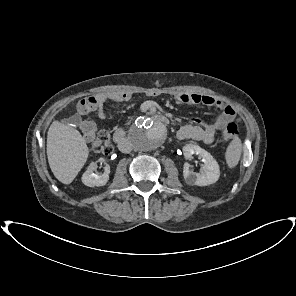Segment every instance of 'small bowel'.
<instances>
[{
    "instance_id": "1",
    "label": "small bowel",
    "mask_w": 296,
    "mask_h": 296,
    "mask_svg": "<svg viewBox=\"0 0 296 296\" xmlns=\"http://www.w3.org/2000/svg\"><path fill=\"white\" fill-rule=\"evenodd\" d=\"M173 100L180 105H197L215 107L220 110V115L211 122H205L200 119H193L192 123L182 126L177 132L179 140H195L205 144L212 143L217 131L222 130L226 125L238 118L236 111L228 103L218 100L208 95L197 93H173ZM131 95L127 92L113 91L100 93L92 97L83 99L77 107L80 115L90 112H97L100 116L105 115V104L108 102L128 101ZM78 126L82 132L83 138L91 142L96 134V124L91 120H80Z\"/></svg>"
}]
</instances>
